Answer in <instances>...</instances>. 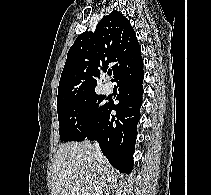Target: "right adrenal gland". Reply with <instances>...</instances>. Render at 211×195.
Listing matches in <instances>:
<instances>
[{
  "label": "right adrenal gland",
  "instance_id": "1",
  "mask_svg": "<svg viewBox=\"0 0 211 195\" xmlns=\"http://www.w3.org/2000/svg\"><path fill=\"white\" fill-rule=\"evenodd\" d=\"M116 189V185H110L108 187H106V190H105V195H109L111 191H114Z\"/></svg>",
  "mask_w": 211,
  "mask_h": 195
}]
</instances>
